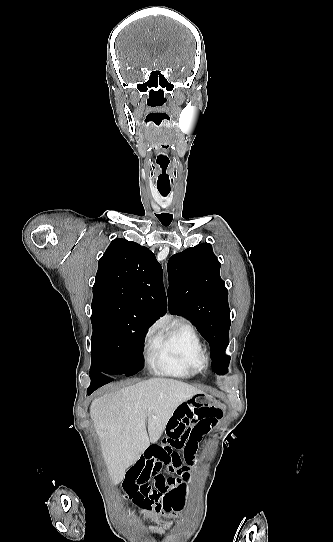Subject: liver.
<instances>
[{
    "instance_id": "6515ba94",
    "label": "liver",
    "mask_w": 333,
    "mask_h": 542,
    "mask_svg": "<svg viewBox=\"0 0 333 542\" xmlns=\"http://www.w3.org/2000/svg\"><path fill=\"white\" fill-rule=\"evenodd\" d=\"M196 394L204 392L159 376L93 400L90 416L113 486L122 482L150 442H158L174 410Z\"/></svg>"
}]
</instances>
